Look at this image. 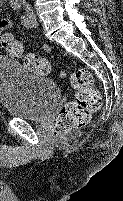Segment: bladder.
Here are the masks:
<instances>
[{
	"mask_svg": "<svg viewBox=\"0 0 123 201\" xmlns=\"http://www.w3.org/2000/svg\"><path fill=\"white\" fill-rule=\"evenodd\" d=\"M60 99L57 84L24 69L11 57L0 56V105L13 117L41 121Z\"/></svg>",
	"mask_w": 123,
	"mask_h": 201,
	"instance_id": "obj_1",
	"label": "bladder"
}]
</instances>
